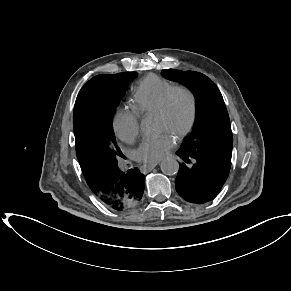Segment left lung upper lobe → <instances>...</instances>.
Here are the masks:
<instances>
[{"mask_svg":"<svg viewBox=\"0 0 291 291\" xmlns=\"http://www.w3.org/2000/svg\"><path fill=\"white\" fill-rule=\"evenodd\" d=\"M162 74L188 87L197 102L194 130L179 150L230 166L233 137L228 112L217 86L207 76L196 71L166 69Z\"/></svg>","mask_w":291,"mask_h":291,"instance_id":"left-lung-upper-lobe-1","label":"left lung upper lobe"}]
</instances>
